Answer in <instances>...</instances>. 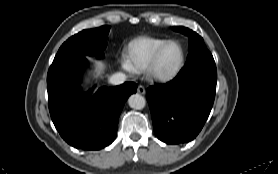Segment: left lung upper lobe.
Segmentation results:
<instances>
[{
  "mask_svg": "<svg viewBox=\"0 0 278 174\" xmlns=\"http://www.w3.org/2000/svg\"><path fill=\"white\" fill-rule=\"evenodd\" d=\"M173 30L181 32L189 38V55L180 74L198 69H204L214 73L217 72L214 58L205 46L201 36L185 27H173Z\"/></svg>",
  "mask_w": 278,
  "mask_h": 174,
  "instance_id": "1",
  "label": "left lung upper lobe"
}]
</instances>
